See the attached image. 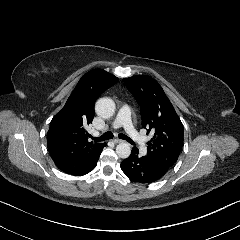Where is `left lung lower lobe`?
<instances>
[{
	"label": "left lung lower lobe",
	"instance_id": "left-lung-lower-lobe-1",
	"mask_svg": "<svg viewBox=\"0 0 240 240\" xmlns=\"http://www.w3.org/2000/svg\"><path fill=\"white\" fill-rule=\"evenodd\" d=\"M138 149L133 148L131 155L122 161L121 168L127 177L138 183H152L162 178L169 168L158 165L152 159L138 155Z\"/></svg>",
	"mask_w": 240,
	"mask_h": 240
}]
</instances>
